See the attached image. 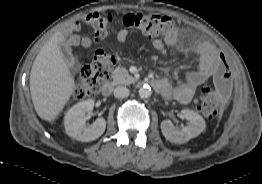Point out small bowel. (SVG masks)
<instances>
[{
  "instance_id": "small-bowel-1",
  "label": "small bowel",
  "mask_w": 262,
  "mask_h": 184,
  "mask_svg": "<svg viewBox=\"0 0 262 184\" xmlns=\"http://www.w3.org/2000/svg\"><path fill=\"white\" fill-rule=\"evenodd\" d=\"M78 27V22L69 24L66 28L69 38L67 39V48L72 49L75 46H81L88 49L92 46V40L89 37L80 38L77 35H71L72 32ZM128 38V30L122 29L117 33V40L124 42ZM179 42V33L173 30L170 34L166 35L164 39L151 38L150 43L154 49L162 54L167 52V47L176 46ZM193 51L199 57L198 68L190 72L185 82L172 86L168 80L159 79V87L157 92L165 99H175L181 104L189 103L196 90L203 84L217 80V71L220 66L224 65L223 56L210 44L205 42H198L194 44Z\"/></svg>"
}]
</instances>
